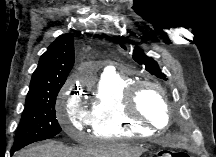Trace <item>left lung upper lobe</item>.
<instances>
[{"label":"left lung upper lobe","mask_w":216,"mask_h":157,"mask_svg":"<svg viewBox=\"0 0 216 157\" xmlns=\"http://www.w3.org/2000/svg\"><path fill=\"white\" fill-rule=\"evenodd\" d=\"M121 47L125 49L124 45H121ZM132 57L138 64L143 65L152 75L167 80L166 75L161 72L158 63L153 58L146 56L139 47L135 46Z\"/></svg>","instance_id":"5c2ea615"}]
</instances>
